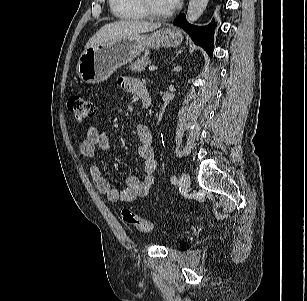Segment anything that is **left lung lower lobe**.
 <instances>
[{
    "label": "left lung lower lobe",
    "mask_w": 307,
    "mask_h": 301,
    "mask_svg": "<svg viewBox=\"0 0 307 301\" xmlns=\"http://www.w3.org/2000/svg\"><path fill=\"white\" fill-rule=\"evenodd\" d=\"M173 24L183 27L185 31L190 35L193 41L206 50L208 55H213V26L210 24L206 27H196L190 25L186 21L185 14H181L174 19Z\"/></svg>",
    "instance_id": "1"
}]
</instances>
